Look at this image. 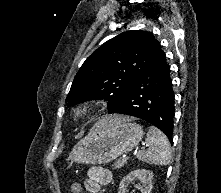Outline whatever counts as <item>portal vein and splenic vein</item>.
<instances>
[{
	"mask_svg": "<svg viewBox=\"0 0 221 193\" xmlns=\"http://www.w3.org/2000/svg\"><path fill=\"white\" fill-rule=\"evenodd\" d=\"M128 159V157L126 156V155H124L123 157H122V160L123 161H126Z\"/></svg>",
	"mask_w": 221,
	"mask_h": 193,
	"instance_id": "obj_1",
	"label": "portal vein and splenic vein"
}]
</instances>
